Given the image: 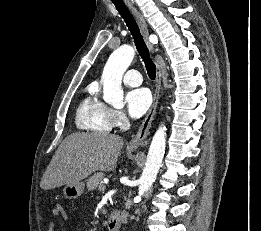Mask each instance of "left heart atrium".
<instances>
[{"label": "left heart atrium", "instance_id": "39dd6f15", "mask_svg": "<svg viewBox=\"0 0 261 231\" xmlns=\"http://www.w3.org/2000/svg\"><path fill=\"white\" fill-rule=\"evenodd\" d=\"M128 113L133 118H139L150 108L152 96L148 89L140 87L130 90L125 97Z\"/></svg>", "mask_w": 261, "mask_h": 231}]
</instances>
